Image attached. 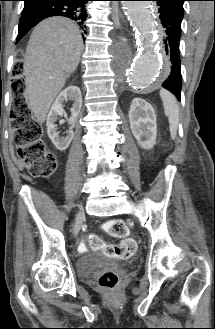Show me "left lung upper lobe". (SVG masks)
<instances>
[{
	"label": "left lung upper lobe",
	"instance_id": "5c2ea615",
	"mask_svg": "<svg viewBox=\"0 0 215 329\" xmlns=\"http://www.w3.org/2000/svg\"><path fill=\"white\" fill-rule=\"evenodd\" d=\"M162 1L171 5L173 8H175L181 14L184 13L183 3H184V1H187V0H162Z\"/></svg>",
	"mask_w": 215,
	"mask_h": 329
}]
</instances>
